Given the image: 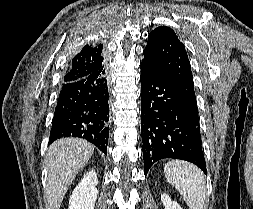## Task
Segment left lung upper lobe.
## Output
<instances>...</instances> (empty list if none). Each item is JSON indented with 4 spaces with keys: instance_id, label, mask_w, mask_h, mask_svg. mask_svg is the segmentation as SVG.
Wrapping results in <instances>:
<instances>
[{
    "instance_id": "1",
    "label": "left lung upper lobe",
    "mask_w": 253,
    "mask_h": 209,
    "mask_svg": "<svg viewBox=\"0 0 253 209\" xmlns=\"http://www.w3.org/2000/svg\"><path fill=\"white\" fill-rule=\"evenodd\" d=\"M142 62L162 72L173 84L189 110L198 116L194 83L185 46L175 32L167 27L155 28L148 35Z\"/></svg>"
}]
</instances>
